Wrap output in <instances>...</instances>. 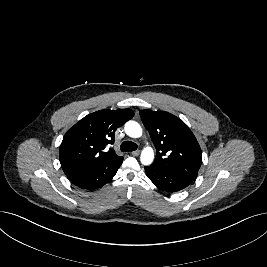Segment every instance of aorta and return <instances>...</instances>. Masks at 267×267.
<instances>
[{
  "label": "aorta",
  "instance_id": "1",
  "mask_svg": "<svg viewBox=\"0 0 267 267\" xmlns=\"http://www.w3.org/2000/svg\"><path fill=\"white\" fill-rule=\"evenodd\" d=\"M125 132L128 136L132 138H139L142 135V128L141 126L135 122V121H128L125 124ZM141 163L143 165H150L154 160V152L151 147H145L142 150L141 157H140Z\"/></svg>",
  "mask_w": 267,
  "mask_h": 267
}]
</instances>
